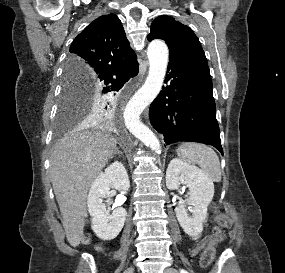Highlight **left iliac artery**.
Wrapping results in <instances>:
<instances>
[{"instance_id":"1","label":"left iliac artery","mask_w":285,"mask_h":273,"mask_svg":"<svg viewBox=\"0 0 285 273\" xmlns=\"http://www.w3.org/2000/svg\"><path fill=\"white\" fill-rule=\"evenodd\" d=\"M180 273H187V271L184 270V269H181V270H180Z\"/></svg>"}]
</instances>
